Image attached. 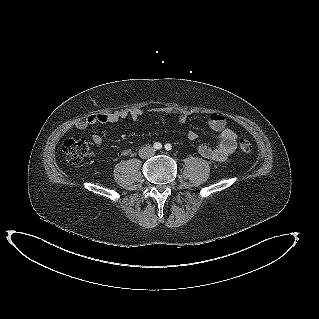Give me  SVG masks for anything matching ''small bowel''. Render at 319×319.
<instances>
[{"mask_svg": "<svg viewBox=\"0 0 319 319\" xmlns=\"http://www.w3.org/2000/svg\"><path fill=\"white\" fill-rule=\"evenodd\" d=\"M148 113L167 114L177 116L180 123H184L190 113L186 110L176 109L173 107H154L146 110ZM145 113L143 109L136 108L133 110H118L111 112L96 113L87 116L76 124L78 130H85L89 126L98 123H115L126 118L136 121ZM207 124L210 129L218 133L217 143L215 147H211L206 143L197 145L198 152L206 159L215 163L226 161L237 148V134L230 128L226 127V118L220 112H211L207 116ZM188 139L195 142L198 139V134L194 131H189ZM92 141L96 148L100 149L103 145L102 136L98 133L92 135ZM132 154L131 148H125L121 151L122 156Z\"/></svg>", "mask_w": 319, "mask_h": 319, "instance_id": "c3829d8e", "label": "small bowel"}]
</instances>
